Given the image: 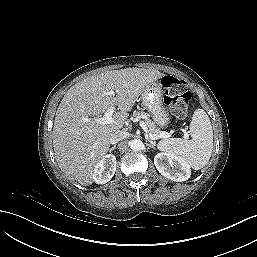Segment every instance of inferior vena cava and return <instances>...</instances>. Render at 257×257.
<instances>
[{"label":"inferior vena cava","instance_id":"obj_1","mask_svg":"<svg viewBox=\"0 0 257 257\" xmlns=\"http://www.w3.org/2000/svg\"><path fill=\"white\" fill-rule=\"evenodd\" d=\"M126 138V133L124 131H117L114 134L111 135L110 137V143L111 144H116L119 141L123 140Z\"/></svg>","mask_w":257,"mask_h":257}]
</instances>
